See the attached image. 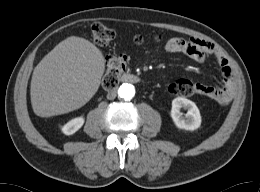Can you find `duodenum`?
<instances>
[{
  "instance_id": "duodenum-1",
  "label": "duodenum",
  "mask_w": 260,
  "mask_h": 192,
  "mask_svg": "<svg viewBox=\"0 0 260 192\" xmlns=\"http://www.w3.org/2000/svg\"><path fill=\"white\" fill-rule=\"evenodd\" d=\"M119 80L121 82L131 83V84H137L141 82V79L138 75L128 73V72L122 73L119 77Z\"/></svg>"
}]
</instances>
